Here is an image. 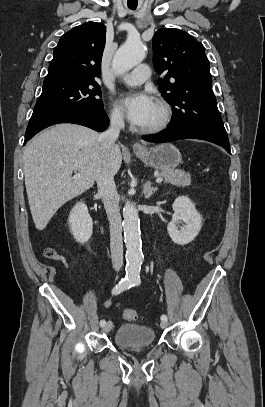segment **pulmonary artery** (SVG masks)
<instances>
[{
  "instance_id": "1",
  "label": "pulmonary artery",
  "mask_w": 265,
  "mask_h": 407,
  "mask_svg": "<svg viewBox=\"0 0 265 407\" xmlns=\"http://www.w3.org/2000/svg\"><path fill=\"white\" fill-rule=\"evenodd\" d=\"M150 76V69L147 65H139L134 70L124 75L122 80L130 86H138L144 83Z\"/></svg>"
}]
</instances>
